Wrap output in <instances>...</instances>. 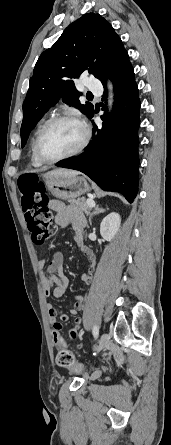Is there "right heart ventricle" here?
<instances>
[{
    "label": "right heart ventricle",
    "mask_w": 171,
    "mask_h": 445,
    "mask_svg": "<svg viewBox=\"0 0 171 445\" xmlns=\"http://www.w3.org/2000/svg\"><path fill=\"white\" fill-rule=\"evenodd\" d=\"M36 135L34 136V138L32 140V143H31L30 159H31V163H32L33 166L40 167L42 165V163L38 161V159L36 158L35 152H34V143H35Z\"/></svg>",
    "instance_id": "right-heart-ventricle-1"
}]
</instances>
